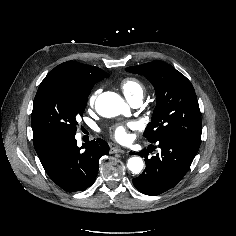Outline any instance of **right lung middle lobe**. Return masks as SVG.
<instances>
[{
	"instance_id": "obj_1",
	"label": "right lung middle lobe",
	"mask_w": 236,
	"mask_h": 236,
	"mask_svg": "<svg viewBox=\"0 0 236 236\" xmlns=\"http://www.w3.org/2000/svg\"><path fill=\"white\" fill-rule=\"evenodd\" d=\"M92 88L61 77H45L34 99L31 125L33 136L75 135Z\"/></svg>"
}]
</instances>
